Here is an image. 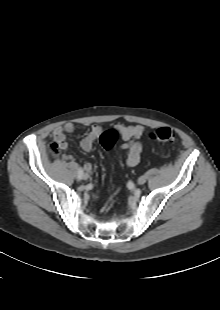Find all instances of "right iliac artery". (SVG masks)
I'll list each match as a JSON object with an SVG mask.
<instances>
[{
    "label": "right iliac artery",
    "instance_id": "right-iliac-artery-1",
    "mask_svg": "<svg viewBox=\"0 0 220 310\" xmlns=\"http://www.w3.org/2000/svg\"><path fill=\"white\" fill-rule=\"evenodd\" d=\"M82 176H83V169H82V168H79V169H78V173H77V179H78V180H81V179H82Z\"/></svg>",
    "mask_w": 220,
    "mask_h": 310
}]
</instances>
